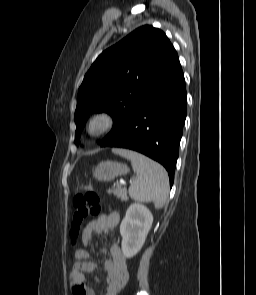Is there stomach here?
I'll list each match as a JSON object with an SVG mask.
<instances>
[{"mask_svg": "<svg viewBox=\"0 0 256 295\" xmlns=\"http://www.w3.org/2000/svg\"><path fill=\"white\" fill-rule=\"evenodd\" d=\"M129 171L125 164L116 161H102L92 171L93 177L98 181L108 182L117 176L125 175ZM85 190H92V185L83 186Z\"/></svg>", "mask_w": 256, "mask_h": 295, "instance_id": "obj_1", "label": "stomach"}]
</instances>
